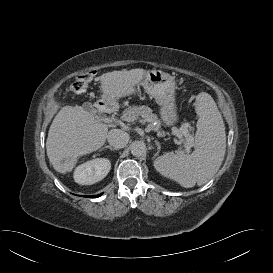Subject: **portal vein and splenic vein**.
<instances>
[{
  "instance_id": "portal-vein-and-splenic-vein-1",
  "label": "portal vein and splenic vein",
  "mask_w": 273,
  "mask_h": 273,
  "mask_svg": "<svg viewBox=\"0 0 273 273\" xmlns=\"http://www.w3.org/2000/svg\"><path fill=\"white\" fill-rule=\"evenodd\" d=\"M127 122H130L131 120H126ZM132 121H134V120H132ZM107 123H110V124H118L119 123V120H117V119H114V118H108L107 119ZM184 147H185V149H186V151H189L190 150V147H191V144L190 143H185L184 144Z\"/></svg>"
}]
</instances>
